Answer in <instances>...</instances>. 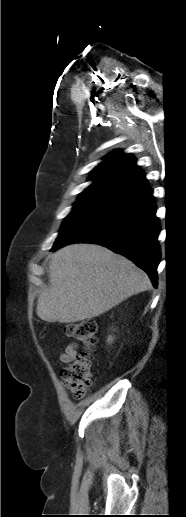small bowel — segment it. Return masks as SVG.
<instances>
[{"label": "small bowel", "instance_id": "small-bowel-1", "mask_svg": "<svg viewBox=\"0 0 186 517\" xmlns=\"http://www.w3.org/2000/svg\"><path fill=\"white\" fill-rule=\"evenodd\" d=\"M77 354V345L75 343H70L66 346L63 353L59 355V360L61 363L67 364L69 363L73 357Z\"/></svg>", "mask_w": 186, "mask_h": 517}]
</instances>
